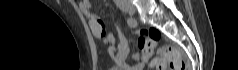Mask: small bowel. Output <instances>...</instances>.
Listing matches in <instances>:
<instances>
[{
	"instance_id": "obj_1",
	"label": "small bowel",
	"mask_w": 238,
	"mask_h": 70,
	"mask_svg": "<svg viewBox=\"0 0 238 70\" xmlns=\"http://www.w3.org/2000/svg\"><path fill=\"white\" fill-rule=\"evenodd\" d=\"M81 12L88 18L89 27L94 37L102 39L103 43L108 46V54L114 62V67L118 70H143L146 62L151 56H147L138 41L141 53H136L133 57L134 64L127 63V56L130 50V38L119 30V41L112 33L107 32L104 21L96 14L91 12V3L88 0L79 1Z\"/></svg>"
}]
</instances>
